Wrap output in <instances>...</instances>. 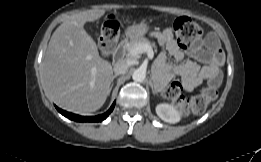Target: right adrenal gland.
<instances>
[{
	"mask_svg": "<svg viewBox=\"0 0 261 162\" xmlns=\"http://www.w3.org/2000/svg\"><path fill=\"white\" fill-rule=\"evenodd\" d=\"M117 76H119V74H115V75L112 76V79H111L112 84H111V86H110L109 93H110L111 90H112V87H113V81H114V79H115Z\"/></svg>",
	"mask_w": 261,
	"mask_h": 162,
	"instance_id": "2a0ac1e0",
	"label": "right adrenal gland"
}]
</instances>
